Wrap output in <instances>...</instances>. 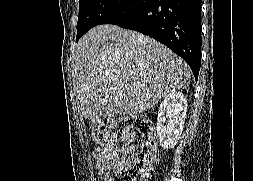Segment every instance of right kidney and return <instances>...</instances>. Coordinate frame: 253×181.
Here are the masks:
<instances>
[{"label": "right kidney", "instance_id": "1", "mask_svg": "<svg viewBox=\"0 0 253 181\" xmlns=\"http://www.w3.org/2000/svg\"><path fill=\"white\" fill-rule=\"evenodd\" d=\"M187 99L172 91L161 102L157 118V135L161 147L173 148L180 138L186 118Z\"/></svg>", "mask_w": 253, "mask_h": 181}]
</instances>
